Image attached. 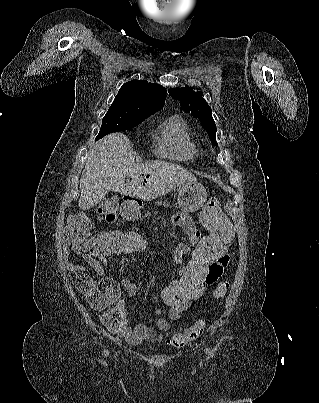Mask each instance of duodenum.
I'll return each instance as SVG.
<instances>
[{
    "label": "duodenum",
    "instance_id": "1",
    "mask_svg": "<svg viewBox=\"0 0 319 403\" xmlns=\"http://www.w3.org/2000/svg\"><path fill=\"white\" fill-rule=\"evenodd\" d=\"M125 202L122 206V214L126 217V218H131L133 217L135 211L138 208V202L136 200H133L131 198H127L124 197ZM131 199V200H128Z\"/></svg>",
    "mask_w": 319,
    "mask_h": 403
}]
</instances>
